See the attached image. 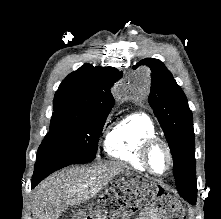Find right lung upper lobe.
<instances>
[{"label":"right lung upper lobe","instance_id":"1","mask_svg":"<svg viewBox=\"0 0 221 219\" xmlns=\"http://www.w3.org/2000/svg\"><path fill=\"white\" fill-rule=\"evenodd\" d=\"M117 74L115 68L83 65L60 84L53 101L54 111L79 115L110 112L114 105L110 87L120 77Z\"/></svg>","mask_w":221,"mask_h":219}]
</instances>
